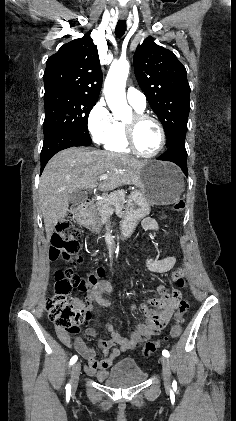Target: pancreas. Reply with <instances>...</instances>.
I'll return each mask as SVG.
<instances>
[{
  "mask_svg": "<svg viewBox=\"0 0 236 421\" xmlns=\"http://www.w3.org/2000/svg\"><path fill=\"white\" fill-rule=\"evenodd\" d=\"M124 202V190H114V192H110L108 198H103L100 202H96L95 208H93V215L100 217V219H97L100 225H107L113 213H116L117 217H123Z\"/></svg>",
  "mask_w": 236,
  "mask_h": 421,
  "instance_id": "cf45deb5",
  "label": "pancreas"
}]
</instances>
